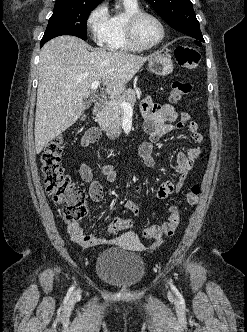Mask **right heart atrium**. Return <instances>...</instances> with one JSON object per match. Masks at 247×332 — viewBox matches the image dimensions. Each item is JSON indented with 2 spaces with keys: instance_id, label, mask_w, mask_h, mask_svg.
Instances as JSON below:
<instances>
[{
  "instance_id": "right-heart-atrium-1",
  "label": "right heart atrium",
  "mask_w": 247,
  "mask_h": 332,
  "mask_svg": "<svg viewBox=\"0 0 247 332\" xmlns=\"http://www.w3.org/2000/svg\"><path fill=\"white\" fill-rule=\"evenodd\" d=\"M108 19L109 12L104 2L96 5L87 16L86 27L91 38L98 44L103 43Z\"/></svg>"
}]
</instances>
